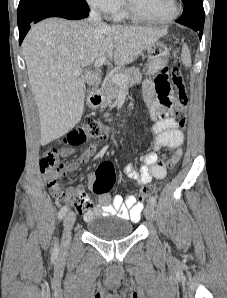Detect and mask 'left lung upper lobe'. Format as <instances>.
I'll return each instance as SVG.
<instances>
[{
  "label": "left lung upper lobe",
  "instance_id": "obj_1",
  "mask_svg": "<svg viewBox=\"0 0 227 298\" xmlns=\"http://www.w3.org/2000/svg\"><path fill=\"white\" fill-rule=\"evenodd\" d=\"M182 2L184 4V12L176 22L184 25L189 22L204 25L205 12L203 0H182Z\"/></svg>",
  "mask_w": 227,
  "mask_h": 298
}]
</instances>
